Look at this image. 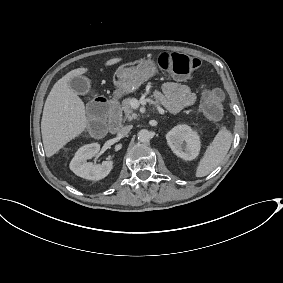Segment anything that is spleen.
Listing matches in <instances>:
<instances>
[{"instance_id": "1", "label": "spleen", "mask_w": 283, "mask_h": 283, "mask_svg": "<svg viewBox=\"0 0 283 283\" xmlns=\"http://www.w3.org/2000/svg\"><path fill=\"white\" fill-rule=\"evenodd\" d=\"M233 140L232 133L223 127L207 147L196 170L197 177L210 174L225 158Z\"/></svg>"}]
</instances>
